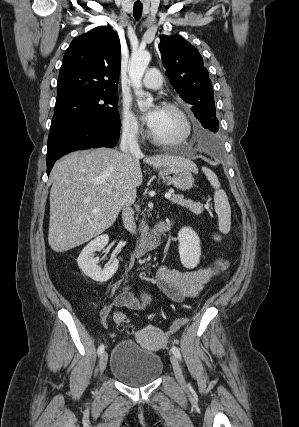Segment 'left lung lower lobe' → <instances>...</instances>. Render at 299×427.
Returning <instances> with one entry per match:
<instances>
[{"label":"left lung lower lobe","instance_id":"obj_1","mask_svg":"<svg viewBox=\"0 0 299 427\" xmlns=\"http://www.w3.org/2000/svg\"><path fill=\"white\" fill-rule=\"evenodd\" d=\"M201 123V125L204 127V128H206V123H205V121L204 122H200Z\"/></svg>","mask_w":299,"mask_h":427}]
</instances>
